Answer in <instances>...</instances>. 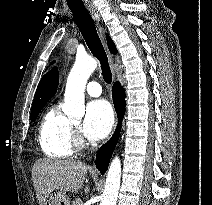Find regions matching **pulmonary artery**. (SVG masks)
I'll return each mask as SVG.
<instances>
[{
	"mask_svg": "<svg viewBox=\"0 0 212 205\" xmlns=\"http://www.w3.org/2000/svg\"><path fill=\"white\" fill-rule=\"evenodd\" d=\"M86 91L90 96L97 97L101 95L102 89L98 82L91 81L86 86Z\"/></svg>",
	"mask_w": 212,
	"mask_h": 205,
	"instance_id": "1",
	"label": "pulmonary artery"
}]
</instances>
